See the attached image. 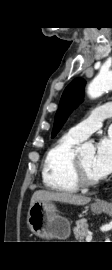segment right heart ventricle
<instances>
[{
    "instance_id": "obj_1",
    "label": "right heart ventricle",
    "mask_w": 112,
    "mask_h": 270,
    "mask_svg": "<svg viewBox=\"0 0 112 270\" xmlns=\"http://www.w3.org/2000/svg\"><path fill=\"white\" fill-rule=\"evenodd\" d=\"M79 142L66 134L47 151L42 167V180L48 189L67 194L79 190L71 170L75 149Z\"/></svg>"
}]
</instances>
